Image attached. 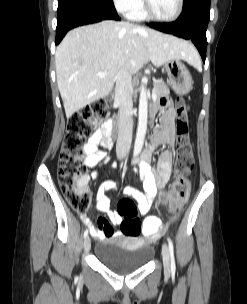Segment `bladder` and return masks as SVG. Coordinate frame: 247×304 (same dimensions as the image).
Returning <instances> with one entry per match:
<instances>
[{
  "instance_id": "31cf9c89",
  "label": "bladder",
  "mask_w": 247,
  "mask_h": 304,
  "mask_svg": "<svg viewBox=\"0 0 247 304\" xmlns=\"http://www.w3.org/2000/svg\"><path fill=\"white\" fill-rule=\"evenodd\" d=\"M155 250L131 238L105 239L95 249L97 260L107 269L126 274L145 267L154 257Z\"/></svg>"
}]
</instances>
